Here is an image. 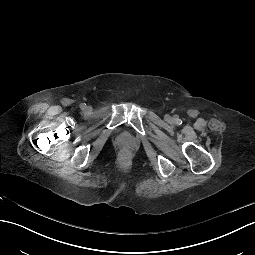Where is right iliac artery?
Returning <instances> with one entry per match:
<instances>
[{
    "mask_svg": "<svg viewBox=\"0 0 255 255\" xmlns=\"http://www.w3.org/2000/svg\"><path fill=\"white\" fill-rule=\"evenodd\" d=\"M80 108H81V109H85V108H86V105H85L84 103H82V104L80 105Z\"/></svg>",
    "mask_w": 255,
    "mask_h": 255,
    "instance_id": "1",
    "label": "right iliac artery"
}]
</instances>
